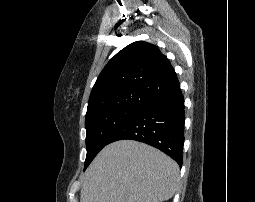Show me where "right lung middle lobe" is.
<instances>
[{
	"label": "right lung middle lobe",
	"instance_id": "obj_1",
	"mask_svg": "<svg viewBox=\"0 0 255 202\" xmlns=\"http://www.w3.org/2000/svg\"><path fill=\"white\" fill-rule=\"evenodd\" d=\"M139 109L114 108L86 116L87 156L84 170L88 167L97 153L108 144L115 132L125 124Z\"/></svg>",
	"mask_w": 255,
	"mask_h": 202
}]
</instances>
